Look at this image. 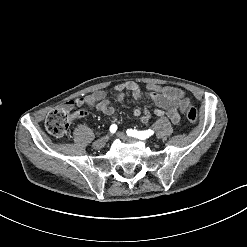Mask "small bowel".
Wrapping results in <instances>:
<instances>
[{"label": "small bowel", "instance_id": "obj_1", "mask_svg": "<svg viewBox=\"0 0 247 247\" xmlns=\"http://www.w3.org/2000/svg\"><path fill=\"white\" fill-rule=\"evenodd\" d=\"M115 90L117 91V104L123 101L125 92H129L136 100L147 97L154 101L158 108L153 111L148 107H145L144 110L137 108L133 111L134 116H141L143 123L148 122L152 114L161 116L166 112L171 122L177 124L180 120V111H184L187 104H189V99L186 97L185 92L177 87L150 85L146 89H142L137 83L128 81L115 86ZM82 106L96 108L103 114L115 119L117 105L111 104L106 92L103 90H96L92 94L63 103V109L65 110ZM87 114L85 109H80L78 111V118H83Z\"/></svg>", "mask_w": 247, "mask_h": 247}]
</instances>
